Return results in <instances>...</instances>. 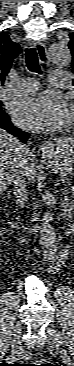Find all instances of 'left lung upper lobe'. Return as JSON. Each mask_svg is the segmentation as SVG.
Segmentation results:
<instances>
[{"instance_id": "left-lung-upper-lobe-1", "label": "left lung upper lobe", "mask_w": 74, "mask_h": 366, "mask_svg": "<svg viewBox=\"0 0 74 366\" xmlns=\"http://www.w3.org/2000/svg\"><path fill=\"white\" fill-rule=\"evenodd\" d=\"M70 36V42L68 44L69 49L72 52V72L74 73V33L69 34ZM73 86H74V80H73Z\"/></svg>"}]
</instances>
